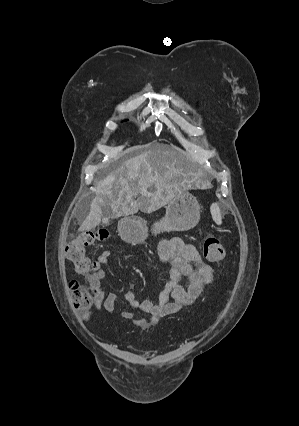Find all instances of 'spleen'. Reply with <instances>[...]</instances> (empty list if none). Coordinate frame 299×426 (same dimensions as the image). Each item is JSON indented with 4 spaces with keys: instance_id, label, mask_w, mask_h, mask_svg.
Here are the masks:
<instances>
[{
    "instance_id": "3e777b00",
    "label": "spleen",
    "mask_w": 299,
    "mask_h": 426,
    "mask_svg": "<svg viewBox=\"0 0 299 426\" xmlns=\"http://www.w3.org/2000/svg\"><path fill=\"white\" fill-rule=\"evenodd\" d=\"M210 212H211V215H212L214 222L217 225H221L222 224V215H221L219 205L217 203H213L210 206Z\"/></svg>"
}]
</instances>
